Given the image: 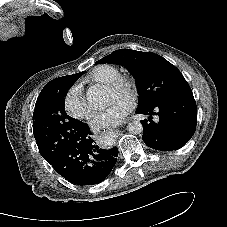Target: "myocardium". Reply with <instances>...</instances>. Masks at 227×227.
I'll use <instances>...</instances> for the list:
<instances>
[{"label": "myocardium", "mask_w": 227, "mask_h": 227, "mask_svg": "<svg viewBox=\"0 0 227 227\" xmlns=\"http://www.w3.org/2000/svg\"><path fill=\"white\" fill-rule=\"evenodd\" d=\"M107 88L123 89L130 99H134L136 96L135 80L128 74H119L107 83Z\"/></svg>", "instance_id": "1"}]
</instances>
